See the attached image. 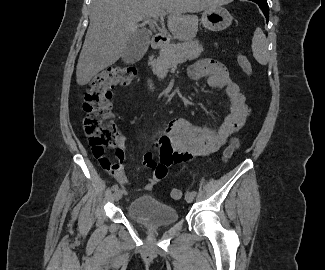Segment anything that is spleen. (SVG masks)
<instances>
[{"label": "spleen", "instance_id": "obj_1", "mask_svg": "<svg viewBox=\"0 0 325 270\" xmlns=\"http://www.w3.org/2000/svg\"><path fill=\"white\" fill-rule=\"evenodd\" d=\"M252 51L254 58L261 65L268 63V42L261 28H256L252 39Z\"/></svg>", "mask_w": 325, "mask_h": 270}]
</instances>
